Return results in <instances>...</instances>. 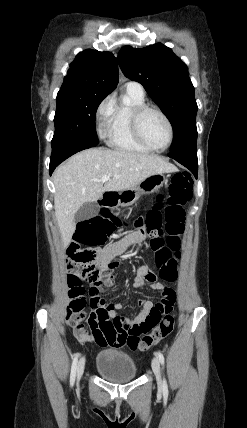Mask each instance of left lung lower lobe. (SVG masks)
Returning a JSON list of instances; mask_svg holds the SVG:
<instances>
[{"label":"left lung lower lobe","instance_id":"0a47b994","mask_svg":"<svg viewBox=\"0 0 247 428\" xmlns=\"http://www.w3.org/2000/svg\"><path fill=\"white\" fill-rule=\"evenodd\" d=\"M169 157L175 159L180 164L187 167L197 178V171H198V161H197V151L192 152H184V153H169Z\"/></svg>","mask_w":247,"mask_h":428}]
</instances>
